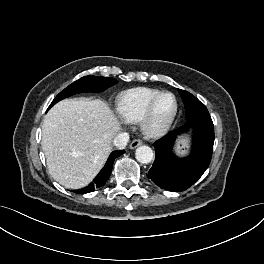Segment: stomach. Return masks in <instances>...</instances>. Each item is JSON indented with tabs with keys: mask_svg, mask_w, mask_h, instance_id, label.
Listing matches in <instances>:
<instances>
[{
	"mask_svg": "<svg viewBox=\"0 0 264 264\" xmlns=\"http://www.w3.org/2000/svg\"><path fill=\"white\" fill-rule=\"evenodd\" d=\"M190 151V138L188 136H180L175 145V152L179 156H186Z\"/></svg>",
	"mask_w": 264,
	"mask_h": 264,
	"instance_id": "obj_1",
	"label": "stomach"
}]
</instances>
